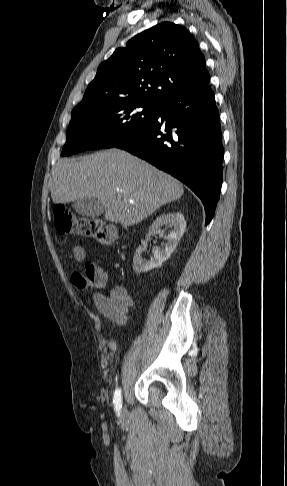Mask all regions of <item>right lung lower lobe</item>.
I'll use <instances>...</instances> for the list:
<instances>
[{"label": "right lung lower lobe", "mask_w": 287, "mask_h": 486, "mask_svg": "<svg viewBox=\"0 0 287 486\" xmlns=\"http://www.w3.org/2000/svg\"><path fill=\"white\" fill-rule=\"evenodd\" d=\"M115 147L186 184L204 204L206 224L211 221L222 185L223 146L209 83L161 102L156 116L137 135Z\"/></svg>", "instance_id": "1"}]
</instances>
